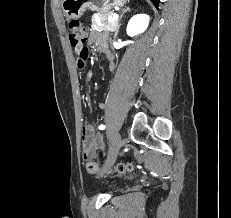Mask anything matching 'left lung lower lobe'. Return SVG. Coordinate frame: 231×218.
I'll return each mask as SVG.
<instances>
[{"label":"left lung lower lobe","mask_w":231,"mask_h":218,"mask_svg":"<svg viewBox=\"0 0 231 218\" xmlns=\"http://www.w3.org/2000/svg\"><path fill=\"white\" fill-rule=\"evenodd\" d=\"M151 1L154 3L156 7L158 6L159 0H151Z\"/></svg>","instance_id":"1"}]
</instances>
